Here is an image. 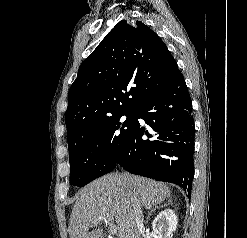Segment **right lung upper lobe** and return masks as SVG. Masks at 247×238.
<instances>
[{
    "label": "right lung upper lobe",
    "instance_id": "1",
    "mask_svg": "<svg viewBox=\"0 0 247 238\" xmlns=\"http://www.w3.org/2000/svg\"><path fill=\"white\" fill-rule=\"evenodd\" d=\"M178 65L159 36L141 21H120L79 67L68 94V145L87 129L135 112L169 84Z\"/></svg>",
    "mask_w": 247,
    "mask_h": 238
}]
</instances>
